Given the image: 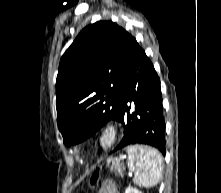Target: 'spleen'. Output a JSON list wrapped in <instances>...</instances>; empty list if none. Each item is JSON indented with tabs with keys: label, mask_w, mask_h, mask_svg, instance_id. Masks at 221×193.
<instances>
[{
	"label": "spleen",
	"mask_w": 221,
	"mask_h": 193,
	"mask_svg": "<svg viewBox=\"0 0 221 193\" xmlns=\"http://www.w3.org/2000/svg\"><path fill=\"white\" fill-rule=\"evenodd\" d=\"M126 151L133 182L146 188L156 186L162 177L161 154L149 146H129Z\"/></svg>",
	"instance_id": "spleen-1"
}]
</instances>
